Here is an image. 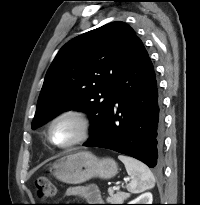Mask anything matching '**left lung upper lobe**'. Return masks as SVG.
Here are the masks:
<instances>
[{
    "instance_id": "5c2ea615",
    "label": "left lung upper lobe",
    "mask_w": 200,
    "mask_h": 205,
    "mask_svg": "<svg viewBox=\"0 0 200 205\" xmlns=\"http://www.w3.org/2000/svg\"><path fill=\"white\" fill-rule=\"evenodd\" d=\"M137 39L124 22H112L67 42L49 67L32 128L60 112L89 114L90 138L99 134L114 97V83Z\"/></svg>"
}]
</instances>
